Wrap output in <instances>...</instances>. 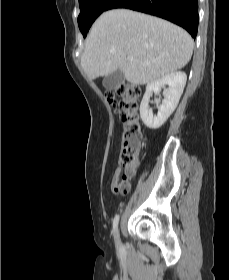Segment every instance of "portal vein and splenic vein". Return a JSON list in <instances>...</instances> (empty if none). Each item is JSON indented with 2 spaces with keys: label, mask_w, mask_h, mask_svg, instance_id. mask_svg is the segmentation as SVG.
Returning a JSON list of instances; mask_svg holds the SVG:
<instances>
[{
  "label": "portal vein and splenic vein",
  "mask_w": 229,
  "mask_h": 280,
  "mask_svg": "<svg viewBox=\"0 0 229 280\" xmlns=\"http://www.w3.org/2000/svg\"><path fill=\"white\" fill-rule=\"evenodd\" d=\"M127 59L128 60H133V57L132 56H128Z\"/></svg>",
  "instance_id": "portal-vein-and-splenic-vein-1"
}]
</instances>
